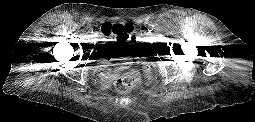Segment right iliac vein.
I'll use <instances>...</instances> for the list:
<instances>
[{
  "instance_id": "63e3f726",
  "label": "right iliac vein",
  "mask_w": 255,
  "mask_h": 122,
  "mask_svg": "<svg viewBox=\"0 0 255 122\" xmlns=\"http://www.w3.org/2000/svg\"><path fill=\"white\" fill-rule=\"evenodd\" d=\"M91 33H92V36H94V37L97 36V34L95 32L92 31Z\"/></svg>"
}]
</instances>
